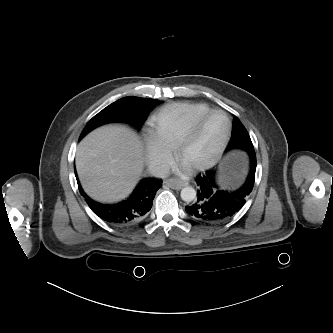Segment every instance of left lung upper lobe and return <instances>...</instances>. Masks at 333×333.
I'll return each instance as SVG.
<instances>
[{
  "mask_svg": "<svg viewBox=\"0 0 333 333\" xmlns=\"http://www.w3.org/2000/svg\"><path fill=\"white\" fill-rule=\"evenodd\" d=\"M233 127V135L226 150L240 149L248 154L255 153L250 136L237 117L234 118Z\"/></svg>",
  "mask_w": 333,
  "mask_h": 333,
  "instance_id": "1",
  "label": "left lung upper lobe"
}]
</instances>
